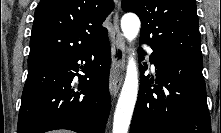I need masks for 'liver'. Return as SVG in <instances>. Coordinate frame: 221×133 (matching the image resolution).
Returning <instances> with one entry per match:
<instances>
[{
  "instance_id": "6515ba94",
  "label": "liver",
  "mask_w": 221,
  "mask_h": 133,
  "mask_svg": "<svg viewBox=\"0 0 221 133\" xmlns=\"http://www.w3.org/2000/svg\"><path fill=\"white\" fill-rule=\"evenodd\" d=\"M55 133H68V132L64 130H59V131H56Z\"/></svg>"
}]
</instances>
